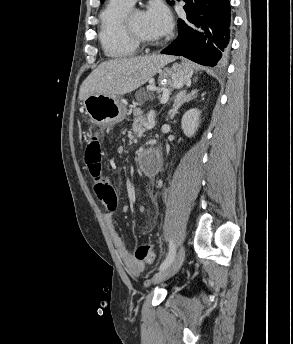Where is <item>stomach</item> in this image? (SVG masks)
I'll return each instance as SVG.
<instances>
[{
	"instance_id": "stomach-1",
	"label": "stomach",
	"mask_w": 293,
	"mask_h": 344,
	"mask_svg": "<svg viewBox=\"0 0 293 344\" xmlns=\"http://www.w3.org/2000/svg\"><path fill=\"white\" fill-rule=\"evenodd\" d=\"M158 83L162 86L179 88L188 82L192 76V69L187 64H173L158 70ZM83 107L92 122L99 126L116 124L127 115V110L119 96L101 94L90 95L83 100Z\"/></svg>"
}]
</instances>
